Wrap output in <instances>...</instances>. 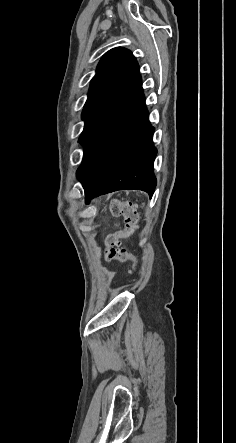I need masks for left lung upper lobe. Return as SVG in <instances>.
Wrapping results in <instances>:
<instances>
[{
  "label": "left lung upper lobe",
  "mask_w": 236,
  "mask_h": 443,
  "mask_svg": "<svg viewBox=\"0 0 236 443\" xmlns=\"http://www.w3.org/2000/svg\"><path fill=\"white\" fill-rule=\"evenodd\" d=\"M139 76V65L131 51L116 47L101 58L90 83L88 99L82 113L85 121L80 138ZM79 138V140H80Z\"/></svg>",
  "instance_id": "1"
}]
</instances>
